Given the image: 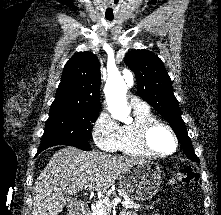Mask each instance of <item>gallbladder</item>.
<instances>
[{"mask_svg": "<svg viewBox=\"0 0 221 215\" xmlns=\"http://www.w3.org/2000/svg\"><path fill=\"white\" fill-rule=\"evenodd\" d=\"M72 201H74V199L73 198H66V204H69L70 202H72Z\"/></svg>", "mask_w": 221, "mask_h": 215, "instance_id": "gallbladder-1", "label": "gallbladder"}]
</instances>
